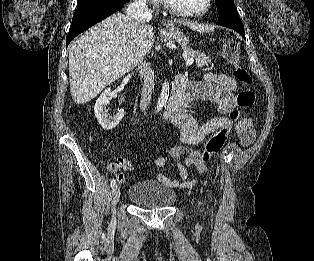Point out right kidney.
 <instances>
[{"label": "right kidney", "instance_id": "1", "mask_svg": "<svg viewBox=\"0 0 314 261\" xmlns=\"http://www.w3.org/2000/svg\"><path fill=\"white\" fill-rule=\"evenodd\" d=\"M111 94V89L107 88L97 99L94 106L95 117L97 118L99 124L105 130L114 129L124 117V110L120 109L116 114L111 116L107 111V104L109 103V96Z\"/></svg>", "mask_w": 314, "mask_h": 261}]
</instances>
